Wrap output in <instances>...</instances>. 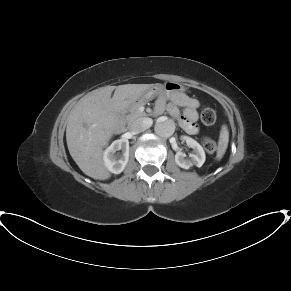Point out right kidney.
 Here are the masks:
<instances>
[{"label": "right kidney", "mask_w": 291, "mask_h": 291, "mask_svg": "<svg viewBox=\"0 0 291 291\" xmlns=\"http://www.w3.org/2000/svg\"><path fill=\"white\" fill-rule=\"evenodd\" d=\"M119 150L122 151L121 154H116V151ZM103 160L110 172L114 174L121 173L129 160V141L126 139L115 140L104 151Z\"/></svg>", "instance_id": "right-kidney-1"}]
</instances>
